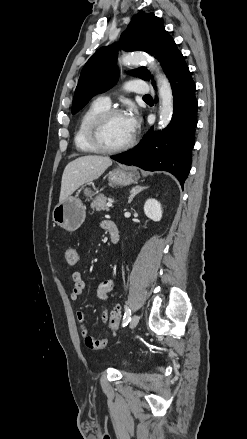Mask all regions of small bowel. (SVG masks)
Listing matches in <instances>:
<instances>
[{
    "instance_id": "obj_1",
    "label": "small bowel",
    "mask_w": 247,
    "mask_h": 439,
    "mask_svg": "<svg viewBox=\"0 0 247 439\" xmlns=\"http://www.w3.org/2000/svg\"><path fill=\"white\" fill-rule=\"evenodd\" d=\"M102 228L108 231V221L102 222ZM71 279L73 282V289L70 294V298L73 301L78 300V298L83 294L85 289V282L82 278V274L79 271H74L71 275ZM114 287L113 279H106L101 282L97 289V297L101 300H107L109 297V293L112 291ZM108 311H105L102 315V320L104 322L107 321ZM76 320L80 327V334L84 339L85 345L92 350H100L106 347L108 340L106 338L97 339L89 335V331L85 325V315L82 310H77L76 312Z\"/></svg>"
}]
</instances>
